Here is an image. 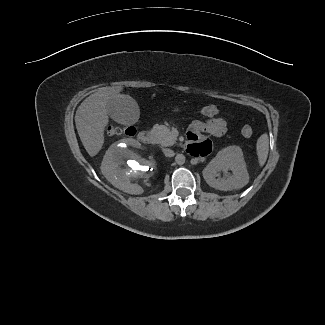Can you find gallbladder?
I'll use <instances>...</instances> for the list:
<instances>
[{"label":"gallbladder","mask_w":325,"mask_h":325,"mask_svg":"<svg viewBox=\"0 0 325 325\" xmlns=\"http://www.w3.org/2000/svg\"><path fill=\"white\" fill-rule=\"evenodd\" d=\"M109 116L119 124L129 125L137 122L139 118V107L135 100L128 96H120L108 103Z\"/></svg>","instance_id":"obj_1"}]
</instances>
